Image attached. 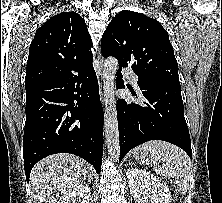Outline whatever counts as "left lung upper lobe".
Listing matches in <instances>:
<instances>
[{
	"label": "left lung upper lobe",
	"mask_w": 222,
	"mask_h": 203,
	"mask_svg": "<svg viewBox=\"0 0 222 203\" xmlns=\"http://www.w3.org/2000/svg\"><path fill=\"white\" fill-rule=\"evenodd\" d=\"M104 57L114 56L119 69L131 65L140 81L179 82L178 63L167 31L155 19L123 10L105 30L101 41Z\"/></svg>",
	"instance_id": "1"
}]
</instances>
